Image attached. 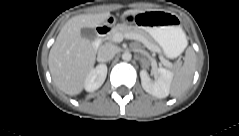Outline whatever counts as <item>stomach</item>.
Segmentation results:
<instances>
[{"label": "stomach", "instance_id": "0dacf381", "mask_svg": "<svg viewBox=\"0 0 239 136\" xmlns=\"http://www.w3.org/2000/svg\"><path fill=\"white\" fill-rule=\"evenodd\" d=\"M138 28L150 36L162 49L165 57L173 59L186 47V37L178 18L162 11L141 12L131 17Z\"/></svg>", "mask_w": 239, "mask_h": 136}]
</instances>
